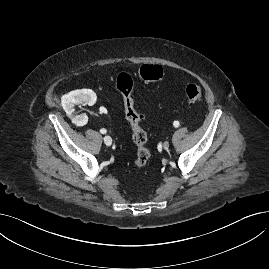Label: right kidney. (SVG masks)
<instances>
[{
  "mask_svg": "<svg viewBox=\"0 0 269 269\" xmlns=\"http://www.w3.org/2000/svg\"><path fill=\"white\" fill-rule=\"evenodd\" d=\"M96 93L91 89H79L71 91L61 97V104L68 116L74 113V106L84 102L93 105L96 102ZM77 120H81L82 124H86L88 117L86 115L77 116Z\"/></svg>",
  "mask_w": 269,
  "mask_h": 269,
  "instance_id": "1",
  "label": "right kidney"
}]
</instances>
